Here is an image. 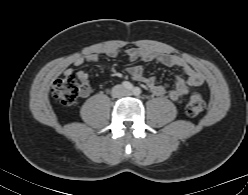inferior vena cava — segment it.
I'll return each instance as SVG.
<instances>
[{"instance_id": "inferior-vena-cava-1", "label": "inferior vena cava", "mask_w": 248, "mask_h": 195, "mask_svg": "<svg viewBox=\"0 0 248 195\" xmlns=\"http://www.w3.org/2000/svg\"><path fill=\"white\" fill-rule=\"evenodd\" d=\"M128 94L127 90L121 85H116L112 89V96L115 98H120Z\"/></svg>"}]
</instances>
